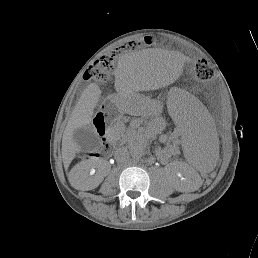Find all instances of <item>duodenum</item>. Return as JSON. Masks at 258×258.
Masks as SVG:
<instances>
[{
    "instance_id": "410a0bca",
    "label": "duodenum",
    "mask_w": 258,
    "mask_h": 258,
    "mask_svg": "<svg viewBox=\"0 0 258 258\" xmlns=\"http://www.w3.org/2000/svg\"><path fill=\"white\" fill-rule=\"evenodd\" d=\"M105 140H106V143H108L109 139H108L107 137H106V139H105Z\"/></svg>"
}]
</instances>
